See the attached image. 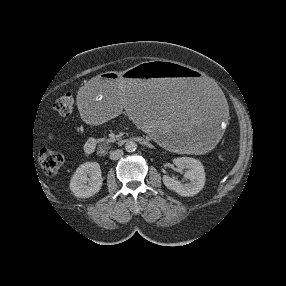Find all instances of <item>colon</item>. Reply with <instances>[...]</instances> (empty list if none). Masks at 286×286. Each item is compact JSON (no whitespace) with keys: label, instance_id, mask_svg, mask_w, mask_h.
<instances>
[{"label":"colon","instance_id":"1","mask_svg":"<svg viewBox=\"0 0 286 286\" xmlns=\"http://www.w3.org/2000/svg\"><path fill=\"white\" fill-rule=\"evenodd\" d=\"M74 101L69 95L58 98L54 103L55 113L62 118L70 116ZM39 163L47 175H55L61 168L64 158L61 153L42 148L38 153Z\"/></svg>","mask_w":286,"mask_h":286}]
</instances>
